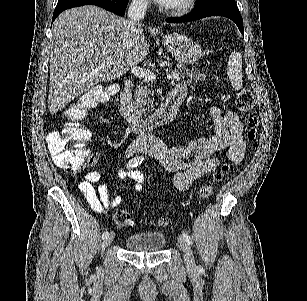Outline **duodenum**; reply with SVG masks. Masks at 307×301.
I'll list each match as a JSON object with an SVG mask.
<instances>
[{"label":"duodenum","instance_id":"duodenum-1","mask_svg":"<svg viewBox=\"0 0 307 301\" xmlns=\"http://www.w3.org/2000/svg\"><path fill=\"white\" fill-rule=\"evenodd\" d=\"M131 81H126L120 95V112L132 130L139 134L148 133L155 128L168 123L177 114L184 99V94L177 90L170 91L158 109L147 117L140 116L132 104Z\"/></svg>","mask_w":307,"mask_h":301}]
</instances>
